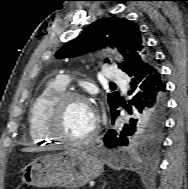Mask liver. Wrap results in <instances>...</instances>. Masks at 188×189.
I'll use <instances>...</instances> for the list:
<instances>
[{
  "label": "liver",
  "mask_w": 188,
  "mask_h": 189,
  "mask_svg": "<svg viewBox=\"0 0 188 189\" xmlns=\"http://www.w3.org/2000/svg\"><path fill=\"white\" fill-rule=\"evenodd\" d=\"M28 150H34V149H23V151H28Z\"/></svg>",
  "instance_id": "1"
}]
</instances>
